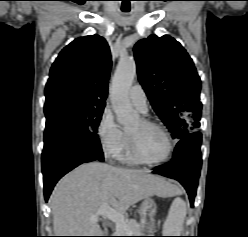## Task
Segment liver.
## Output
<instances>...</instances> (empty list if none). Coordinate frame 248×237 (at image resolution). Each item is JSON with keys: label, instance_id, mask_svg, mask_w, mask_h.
<instances>
[{"label": "liver", "instance_id": "obj_1", "mask_svg": "<svg viewBox=\"0 0 248 237\" xmlns=\"http://www.w3.org/2000/svg\"><path fill=\"white\" fill-rule=\"evenodd\" d=\"M164 179L143 170L125 169L105 163L82 164L55 186L50 204L55 236H102L90 216L105 203L124 214L128 208L153 195L175 194Z\"/></svg>", "mask_w": 248, "mask_h": 237}]
</instances>
